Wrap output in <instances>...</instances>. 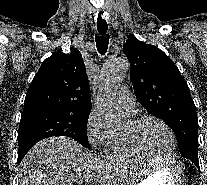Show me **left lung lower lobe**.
<instances>
[{
  "mask_svg": "<svg viewBox=\"0 0 207 185\" xmlns=\"http://www.w3.org/2000/svg\"><path fill=\"white\" fill-rule=\"evenodd\" d=\"M190 159L197 167H199L198 156H190Z\"/></svg>",
  "mask_w": 207,
  "mask_h": 185,
  "instance_id": "1",
  "label": "left lung lower lobe"
}]
</instances>
